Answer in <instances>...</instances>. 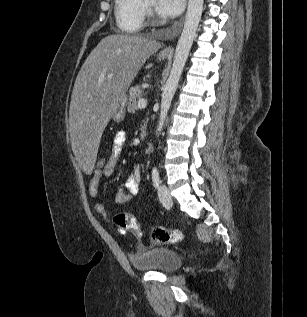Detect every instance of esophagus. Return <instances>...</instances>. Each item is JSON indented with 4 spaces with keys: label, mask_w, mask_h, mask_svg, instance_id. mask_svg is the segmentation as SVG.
<instances>
[{
    "label": "esophagus",
    "mask_w": 307,
    "mask_h": 317,
    "mask_svg": "<svg viewBox=\"0 0 307 317\" xmlns=\"http://www.w3.org/2000/svg\"><path fill=\"white\" fill-rule=\"evenodd\" d=\"M164 53H172L173 52V47L172 46H169V47H166L164 50H163Z\"/></svg>",
    "instance_id": "esophagus-1"
}]
</instances>
